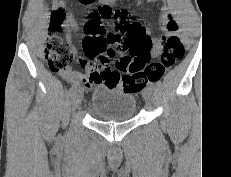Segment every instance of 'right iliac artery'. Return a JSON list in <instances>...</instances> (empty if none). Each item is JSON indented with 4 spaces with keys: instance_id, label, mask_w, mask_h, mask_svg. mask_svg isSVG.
<instances>
[{
    "instance_id": "1",
    "label": "right iliac artery",
    "mask_w": 231,
    "mask_h": 177,
    "mask_svg": "<svg viewBox=\"0 0 231 177\" xmlns=\"http://www.w3.org/2000/svg\"><path fill=\"white\" fill-rule=\"evenodd\" d=\"M75 90H76V86L75 85L71 86L68 90V95H72Z\"/></svg>"
}]
</instances>
